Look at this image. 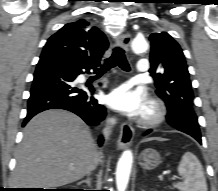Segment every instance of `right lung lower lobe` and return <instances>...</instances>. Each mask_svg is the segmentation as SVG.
Returning <instances> with one entry per match:
<instances>
[{
	"mask_svg": "<svg viewBox=\"0 0 218 191\" xmlns=\"http://www.w3.org/2000/svg\"><path fill=\"white\" fill-rule=\"evenodd\" d=\"M98 65L77 63L56 56L40 57L28 100V113L23 126L36 114L48 109H64L80 116L88 125H98L106 109L86 90L75 87L74 80L84 70H96ZM93 94L95 89L90 86ZM103 137H99L102 145Z\"/></svg>",
	"mask_w": 218,
	"mask_h": 191,
	"instance_id": "right-lung-lower-lobe-1",
	"label": "right lung lower lobe"
}]
</instances>
